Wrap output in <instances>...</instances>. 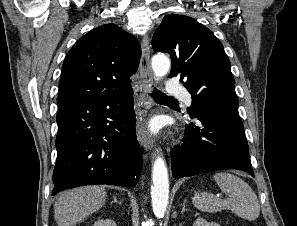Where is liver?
<instances>
[{
    "mask_svg": "<svg viewBox=\"0 0 297 226\" xmlns=\"http://www.w3.org/2000/svg\"><path fill=\"white\" fill-rule=\"evenodd\" d=\"M107 197L99 186L75 188L60 194L54 204V218L58 226H73L99 210Z\"/></svg>",
    "mask_w": 297,
    "mask_h": 226,
    "instance_id": "1",
    "label": "liver"
}]
</instances>
